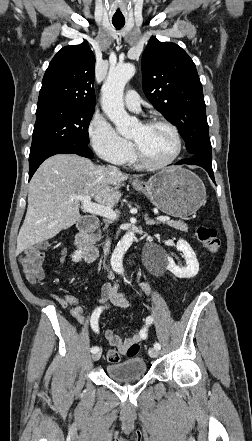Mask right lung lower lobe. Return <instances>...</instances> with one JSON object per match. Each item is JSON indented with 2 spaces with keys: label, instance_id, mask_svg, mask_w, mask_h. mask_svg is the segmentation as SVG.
Returning <instances> with one entry per match:
<instances>
[{
  "label": "right lung lower lobe",
  "instance_id": "obj_1",
  "mask_svg": "<svg viewBox=\"0 0 252 441\" xmlns=\"http://www.w3.org/2000/svg\"><path fill=\"white\" fill-rule=\"evenodd\" d=\"M55 154H77L86 158H93L92 151L87 145L81 144H59L47 147L29 157V180L39 167V165L48 157Z\"/></svg>",
  "mask_w": 252,
  "mask_h": 441
}]
</instances>
